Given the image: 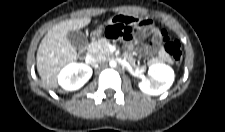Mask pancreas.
Instances as JSON below:
<instances>
[{"label": "pancreas", "instance_id": "1", "mask_svg": "<svg viewBox=\"0 0 225 132\" xmlns=\"http://www.w3.org/2000/svg\"><path fill=\"white\" fill-rule=\"evenodd\" d=\"M110 42L106 39H99L89 44L88 50L91 54L110 56L112 52L109 50Z\"/></svg>", "mask_w": 225, "mask_h": 132}]
</instances>
